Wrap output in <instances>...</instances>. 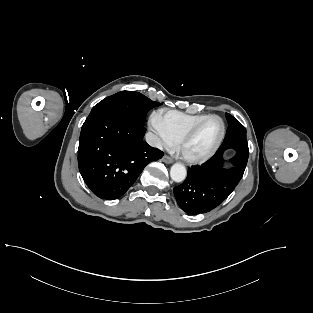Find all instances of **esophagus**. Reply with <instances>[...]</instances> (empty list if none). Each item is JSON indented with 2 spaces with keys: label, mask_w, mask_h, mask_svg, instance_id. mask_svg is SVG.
<instances>
[{
  "label": "esophagus",
  "mask_w": 313,
  "mask_h": 313,
  "mask_svg": "<svg viewBox=\"0 0 313 313\" xmlns=\"http://www.w3.org/2000/svg\"><path fill=\"white\" fill-rule=\"evenodd\" d=\"M163 162L167 163V164H171L173 163V159L167 155H164L162 158Z\"/></svg>",
  "instance_id": "obj_1"
}]
</instances>
